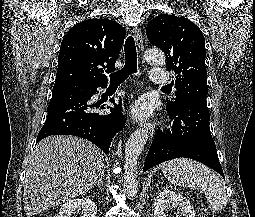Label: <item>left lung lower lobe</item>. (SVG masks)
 <instances>
[{
    "instance_id": "0a47b994",
    "label": "left lung lower lobe",
    "mask_w": 255,
    "mask_h": 217,
    "mask_svg": "<svg viewBox=\"0 0 255 217\" xmlns=\"http://www.w3.org/2000/svg\"><path fill=\"white\" fill-rule=\"evenodd\" d=\"M173 124L158 131L150 146L144 171L164 161L185 157L197 160L224 177L216 146L210 133L206 106L189 102L176 110L167 109Z\"/></svg>"
}]
</instances>
